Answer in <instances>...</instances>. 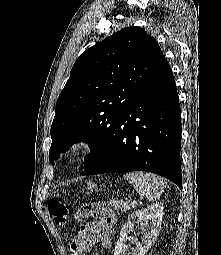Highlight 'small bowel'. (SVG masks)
<instances>
[{
	"label": "small bowel",
	"mask_w": 221,
	"mask_h": 255,
	"mask_svg": "<svg viewBox=\"0 0 221 255\" xmlns=\"http://www.w3.org/2000/svg\"><path fill=\"white\" fill-rule=\"evenodd\" d=\"M91 207V217L95 218V221L83 225L76 237L70 241L71 255H90L98 243L106 249L112 246L111 230L116 221L115 213L105 203H94ZM93 255L99 254L96 252Z\"/></svg>",
	"instance_id": "1"
}]
</instances>
